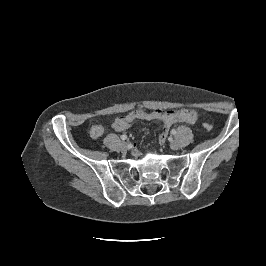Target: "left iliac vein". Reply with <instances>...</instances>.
Wrapping results in <instances>:
<instances>
[{
  "instance_id": "left-iliac-vein-1",
  "label": "left iliac vein",
  "mask_w": 266,
  "mask_h": 266,
  "mask_svg": "<svg viewBox=\"0 0 266 266\" xmlns=\"http://www.w3.org/2000/svg\"><path fill=\"white\" fill-rule=\"evenodd\" d=\"M170 147H171L172 150H177L179 148V144H178L177 141L173 140L170 143Z\"/></svg>"
}]
</instances>
